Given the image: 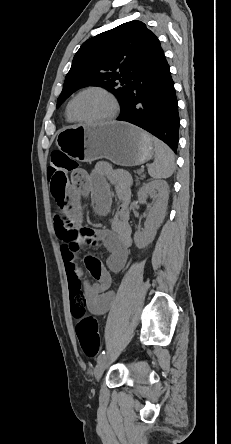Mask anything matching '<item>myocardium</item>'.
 Returning a JSON list of instances; mask_svg holds the SVG:
<instances>
[{"mask_svg": "<svg viewBox=\"0 0 231 444\" xmlns=\"http://www.w3.org/2000/svg\"><path fill=\"white\" fill-rule=\"evenodd\" d=\"M89 91H97L107 97V99L109 100L110 105H111L110 114H108L107 116L102 117L100 119H97V120H86V119L79 117L76 114L75 109H74V105H75L76 100L79 98V96H81L82 94L89 92ZM69 111H70L72 118L77 122L87 124V125H98V124H104V123L114 120L119 113V104H118L116 97L108 89H106L102 86L93 85V86H88V87L83 88L71 99L70 104H69Z\"/></svg>", "mask_w": 231, "mask_h": 444, "instance_id": "obj_1", "label": "myocardium"}]
</instances>
